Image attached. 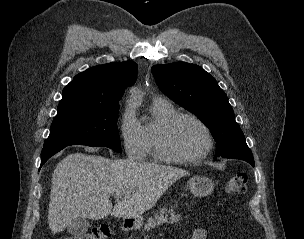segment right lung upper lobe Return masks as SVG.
I'll list each match as a JSON object with an SVG mask.
<instances>
[{"instance_id": "cb5924a9", "label": "right lung upper lobe", "mask_w": 304, "mask_h": 239, "mask_svg": "<svg viewBox=\"0 0 304 239\" xmlns=\"http://www.w3.org/2000/svg\"><path fill=\"white\" fill-rule=\"evenodd\" d=\"M136 76L137 64L133 61L91 67L65 86L58 112L118 105L124 89L135 82Z\"/></svg>"}]
</instances>
